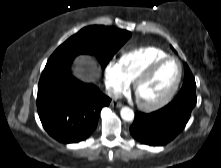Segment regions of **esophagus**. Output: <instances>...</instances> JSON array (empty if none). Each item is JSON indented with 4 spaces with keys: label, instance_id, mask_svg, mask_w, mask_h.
<instances>
[{
    "label": "esophagus",
    "instance_id": "esophagus-1",
    "mask_svg": "<svg viewBox=\"0 0 221 168\" xmlns=\"http://www.w3.org/2000/svg\"><path fill=\"white\" fill-rule=\"evenodd\" d=\"M111 106H112V107L120 108V107H122V103L117 102V101H112V102H111Z\"/></svg>",
    "mask_w": 221,
    "mask_h": 168
}]
</instances>
